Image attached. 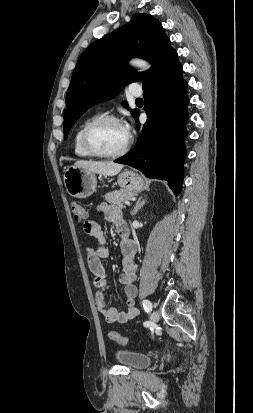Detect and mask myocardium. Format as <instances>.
Wrapping results in <instances>:
<instances>
[{"label": "myocardium", "mask_w": 253, "mask_h": 413, "mask_svg": "<svg viewBox=\"0 0 253 413\" xmlns=\"http://www.w3.org/2000/svg\"><path fill=\"white\" fill-rule=\"evenodd\" d=\"M106 122H117L121 123L120 120L114 116V115H100L91 120L83 129L82 134H81V144L84 148V150L90 154L91 156L94 157H99V158H117L125 155L131 145H132V138L130 135H128V139L125 143V145L117 152L113 153H104L98 151L92 144L91 141V136L93 131L100 125L106 123Z\"/></svg>", "instance_id": "1"}]
</instances>
